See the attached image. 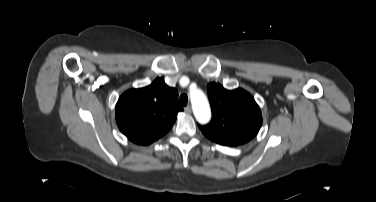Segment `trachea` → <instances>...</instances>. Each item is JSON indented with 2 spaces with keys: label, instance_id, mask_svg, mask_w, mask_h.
I'll return each instance as SVG.
<instances>
[{
  "label": "trachea",
  "instance_id": "1",
  "mask_svg": "<svg viewBox=\"0 0 376 202\" xmlns=\"http://www.w3.org/2000/svg\"><path fill=\"white\" fill-rule=\"evenodd\" d=\"M187 102H188V96L186 94H182L179 98V103L182 105V106H186L187 105Z\"/></svg>",
  "mask_w": 376,
  "mask_h": 202
}]
</instances>
